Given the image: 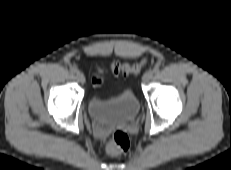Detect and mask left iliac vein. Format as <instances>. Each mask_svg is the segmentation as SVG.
<instances>
[{"mask_svg": "<svg viewBox=\"0 0 231 170\" xmlns=\"http://www.w3.org/2000/svg\"><path fill=\"white\" fill-rule=\"evenodd\" d=\"M153 78V71L148 70L142 77L143 83H148Z\"/></svg>", "mask_w": 231, "mask_h": 170, "instance_id": "1", "label": "left iliac vein"}]
</instances>
